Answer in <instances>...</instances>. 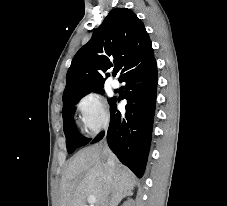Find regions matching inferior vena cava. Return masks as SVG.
<instances>
[{
  "instance_id": "obj_1",
  "label": "inferior vena cava",
  "mask_w": 227,
  "mask_h": 206,
  "mask_svg": "<svg viewBox=\"0 0 227 206\" xmlns=\"http://www.w3.org/2000/svg\"><path fill=\"white\" fill-rule=\"evenodd\" d=\"M103 151H104L105 154L110 153V150H109V148L107 147V145H104ZM107 167H108V168H113V167H114V162H113V160H112L111 158H108V159H107Z\"/></svg>"
}]
</instances>
